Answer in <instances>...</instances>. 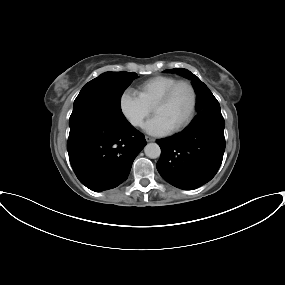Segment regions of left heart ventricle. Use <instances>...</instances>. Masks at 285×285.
<instances>
[{
	"instance_id": "obj_1",
	"label": "left heart ventricle",
	"mask_w": 285,
	"mask_h": 285,
	"mask_svg": "<svg viewBox=\"0 0 285 285\" xmlns=\"http://www.w3.org/2000/svg\"><path fill=\"white\" fill-rule=\"evenodd\" d=\"M192 105V94L187 86H180L171 100L158 107L154 114L160 116L171 129L178 126L188 116Z\"/></svg>"
}]
</instances>
